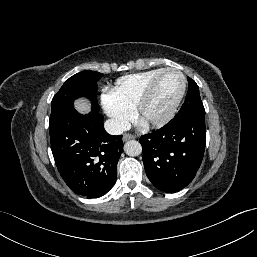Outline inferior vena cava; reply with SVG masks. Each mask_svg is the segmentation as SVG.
Returning a JSON list of instances; mask_svg holds the SVG:
<instances>
[{"mask_svg": "<svg viewBox=\"0 0 257 257\" xmlns=\"http://www.w3.org/2000/svg\"><path fill=\"white\" fill-rule=\"evenodd\" d=\"M105 130L111 135H120L129 129L128 122L117 118L106 120L104 124Z\"/></svg>", "mask_w": 257, "mask_h": 257, "instance_id": "1", "label": "inferior vena cava"}]
</instances>
